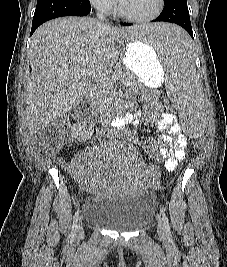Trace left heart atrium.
I'll list each match as a JSON object with an SVG mask.
<instances>
[{
    "label": "left heart atrium",
    "mask_w": 227,
    "mask_h": 267,
    "mask_svg": "<svg viewBox=\"0 0 227 267\" xmlns=\"http://www.w3.org/2000/svg\"><path fill=\"white\" fill-rule=\"evenodd\" d=\"M119 3L122 1V0H117Z\"/></svg>",
    "instance_id": "39dd6f15"
}]
</instances>
